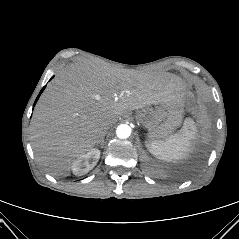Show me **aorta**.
<instances>
[{"mask_svg": "<svg viewBox=\"0 0 239 239\" xmlns=\"http://www.w3.org/2000/svg\"><path fill=\"white\" fill-rule=\"evenodd\" d=\"M132 132V128L127 124H121L116 129V135L120 139H127Z\"/></svg>", "mask_w": 239, "mask_h": 239, "instance_id": "1", "label": "aorta"}]
</instances>
